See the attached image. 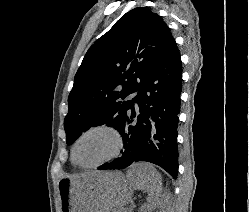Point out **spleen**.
I'll return each instance as SVG.
<instances>
[{"mask_svg": "<svg viewBox=\"0 0 249 212\" xmlns=\"http://www.w3.org/2000/svg\"><path fill=\"white\" fill-rule=\"evenodd\" d=\"M157 176H160V174H158V172H156L155 168H150L147 182H150V178H154V180H155V178H157ZM147 188H149L148 192H150V196H153V194H152L153 190H152L150 184H148ZM155 190H156L155 196H157V194L160 190L159 184H155Z\"/></svg>", "mask_w": 249, "mask_h": 212, "instance_id": "spleen-1", "label": "spleen"}]
</instances>
